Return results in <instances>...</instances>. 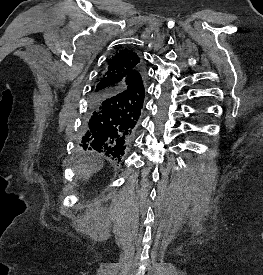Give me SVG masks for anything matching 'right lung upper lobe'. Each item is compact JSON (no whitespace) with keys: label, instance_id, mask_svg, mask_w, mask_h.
<instances>
[{"label":"right lung upper lobe","instance_id":"right-lung-upper-lobe-1","mask_svg":"<svg viewBox=\"0 0 263 275\" xmlns=\"http://www.w3.org/2000/svg\"><path fill=\"white\" fill-rule=\"evenodd\" d=\"M140 58L132 50H119L107 61L92 94L113 93L126 90L129 93L128 106L131 113L141 112L144 100V86L137 76Z\"/></svg>","mask_w":263,"mask_h":275}]
</instances>
